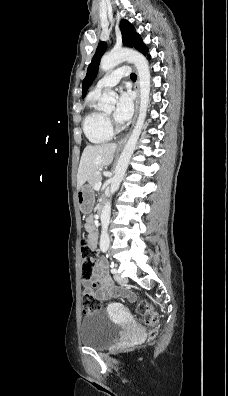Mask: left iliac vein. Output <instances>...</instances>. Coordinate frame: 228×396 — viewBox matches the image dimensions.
<instances>
[{
    "mask_svg": "<svg viewBox=\"0 0 228 396\" xmlns=\"http://www.w3.org/2000/svg\"><path fill=\"white\" fill-rule=\"evenodd\" d=\"M114 279L116 280L117 283L123 284L127 282L126 278L121 277L119 274L114 275Z\"/></svg>",
    "mask_w": 228,
    "mask_h": 396,
    "instance_id": "left-iliac-vein-1",
    "label": "left iliac vein"
}]
</instances>
